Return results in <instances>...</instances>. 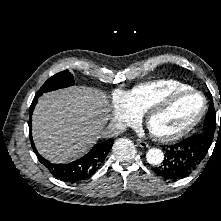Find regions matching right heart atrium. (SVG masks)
I'll return each instance as SVG.
<instances>
[{
    "label": "right heart atrium",
    "mask_w": 221,
    "mask_h": 221,
    "mask_svg": "<svg viewBox=\"0 0 221 221\" xmlns=\"http://www.w3.org/2000/svg\"><path fill=\"white\" fill-rule=\"evenodd\" d=\"M140 119L129 106L126 94L121 91L114 93L112 98L111 122L118 129L123 130L134 126Z\"/></svg>",
    "instance_id": "obj_1"
}]
</instances>
